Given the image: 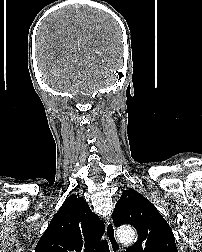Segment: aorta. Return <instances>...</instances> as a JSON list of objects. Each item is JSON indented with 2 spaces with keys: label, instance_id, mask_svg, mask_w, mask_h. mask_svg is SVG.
I'll return each mask as SVG.
<instances>
[{
  "label": "aorta",
  "instance_id": "1",
  "mask_svg": "<svg viewBox=\"0 0 202 252\" xmlns=\"http://www.w3.org/2000/svg\"><path fill=\"white\" fill-rule=\"evenodd\" d=\"M117 236H118L119 240L123 243L130 244L136 240V233L130 227L119 229L117 232Z\"/></svg>",
  "mask_w": 202,
  "mask_h": 252
}]
</instances>
